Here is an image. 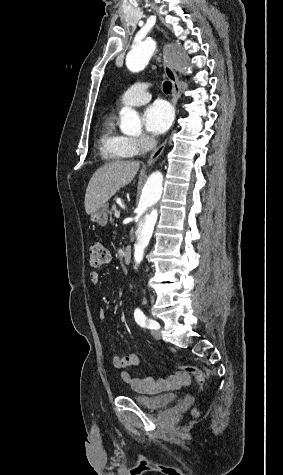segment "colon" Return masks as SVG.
<instances>
[{"label":"colon","instance_id":"5ec220e1","mask_svg":"<svg viewBox=\"0 0 283 475\" xmlns=\"http://www.w3.org/2000/svg\"><path fill=\"white\" fill-rule=\"evenodd\" d=\"M89 255H90V264L93 267H98L103 265L108 261L109 252L103 245L99 242L92 243L89 248ZM178 373L183 378H193L200 389H203L206 386L207 382V375L205 372L201 371L200 369L190 366V365H177L176 366ZM195 413L198 412L196 408L194 410Z\"/></svg>","mask_w":283,"mask_h":475}]
</instances>
